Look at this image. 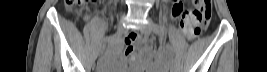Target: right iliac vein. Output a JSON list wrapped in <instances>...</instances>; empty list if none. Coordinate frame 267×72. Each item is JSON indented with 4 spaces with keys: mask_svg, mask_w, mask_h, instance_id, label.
<instances>
[{
    "mask_svg": "<svg viewBox=\"0 0 267 72\" xmlns=\"http://www.w3.org/2000/svg\"><path fill=\"white\" fill-rule=\"evenodd\" d=\"M124 21H125V19L122 18L121 21L117 24V26H116V33L117 34H121L123 32ZM104 49H105V47H102L99 51V54H102L104 52Z\"/></svg>",
    "mask_w": 267,
    "mask_h": 72,
    "instance_id": "1",
    "label": "right iliac vein"
}]
</instances>
